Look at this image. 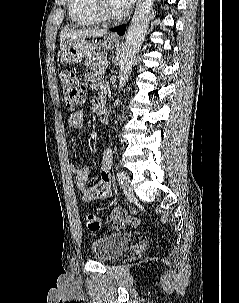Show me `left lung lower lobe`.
Masks as SVG:
<instances>
[{
  "instance_id": "obj_1",
  "label": "left lung lower lobe",
  "mask_w": 239,
  "mask_h": 303,
  "mask_svg": "<svg viewBox=\"0 0 239 303\" xmlns=\"http://www.w3.org/2000/svg\"><path fill=\"white\" fill-rule=\"evenodd\" d=\"M111 31L113 32H117L119 35H124L125 33V25H122V26H119V27H115V28H112Z\"/></svg>"
}]
</instances>
